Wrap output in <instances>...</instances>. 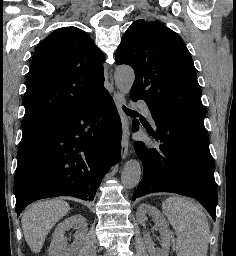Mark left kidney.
<instances>
[{"label": "left kidney", "instance_id": "5707ae66", "mask_svg": "<svg viewBox=\"0 0 236 256\" xmlns=\"http://www.w3.org/2000/svg\"><path fill=\"white\" fill-rule=\"evenodd\" d=\"M146 214H150V216H152L153 222H155L160 232L162 246V250H156V248H154L155 244H153L151 238H149L148 234H144L146 248L150 256H169L170 232H168V226L161 212H159L157 208L150 206V204H141L136 212V220L138 224H145L147 220Z\"/></svg>", "mask_w": 236, "mask_h": 256}]
</instances>
